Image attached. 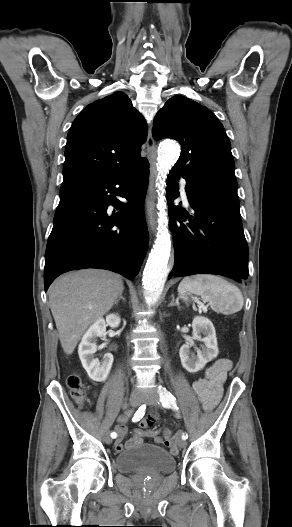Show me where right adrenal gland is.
<instances>
[{"label": "right adrenal gland", "instance_id": "2a0ac1e0", "mask_svg": "<svg viewBox=\"0 0 292 527\" xmlns=\"http://www.w3.org/2000/svg\"><path fill=\"white\" fill-rule=\"evenodd\" d=\"M120 300H123L125 302V298L122 296V293L119 295L118 299L115 301V305H118Z\"/></svg>", "mask_w": 292, "mask_h": 527}]
</instances>
